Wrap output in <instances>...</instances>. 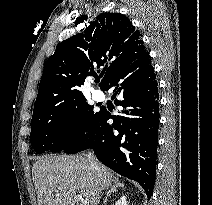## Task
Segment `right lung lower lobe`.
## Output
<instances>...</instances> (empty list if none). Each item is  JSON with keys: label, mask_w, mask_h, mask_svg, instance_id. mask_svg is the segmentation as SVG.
I'll list each match as a JSON object with an SVG mask.
<instances>
[{"label": "right lung lower lobe", "mask_w": 212, "mask_h": 205, "mask_svg": "<svg viewBox=\"0 0 212 205\" xmlns=\"http://www.w3.org/2000/svg\"><path fill=\"white\" fill-rule=\"evenodd\" d=\"M110 88L120 98L115 104L124 109L116 116L101 110L92 127L63 151L73 154L93 149L103 164L137 181L149 199L156 176L160 118L158 84L149 52L122 67L104 90ZM110 118L112 125L107 123Z\"/></svg>", "instance_id": "1"}]
</instances>
